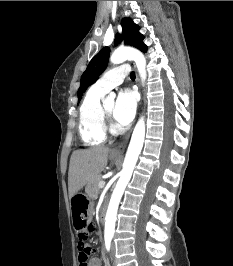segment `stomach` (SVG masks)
Masks as SVG:
<instances>
[{"instance_id": "0dacf381", "label": "stomach", "mask_w": 233, "mask_h": 266, "mask_svg": "<svg viewBox=\"0 0 233 266\" xmlns=\"http://www.w3.org/2000/svg\"><path fill=\"white\" fill-rule=\"evenodd\" d=\"M112 159H117L116 156H111ZM88 201L90 196L85 194V191H78V194H73L71 199L72 217L75 223H72V228L75 232H86L88 225H93V220H90L88 209Z\"/></svg>"}]
</instances>
